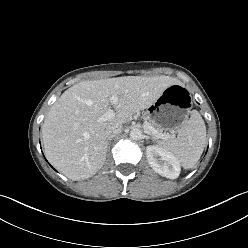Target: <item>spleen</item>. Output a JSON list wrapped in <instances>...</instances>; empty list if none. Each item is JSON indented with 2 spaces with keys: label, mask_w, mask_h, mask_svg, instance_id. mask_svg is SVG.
<instances>
[{
  "label": "spleen",
  "mask_w": 248,
  "mask_h": 248,
  "mask_svg": "<svg viewBox=\"0 0 248 248\" xmlns=\"http://www.w3.org/2000/svg\"><path fill=\"white\" fill-rule=\"evenodd\" d=\"M206 145V126L198 111H191L190 119L178 130L176 138L162 141L160 147L171 153L185 169L200 159Z\"/></svg>",
  "instance_id": "obj_1"
}]
</instances>
